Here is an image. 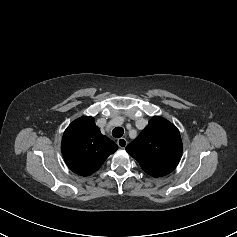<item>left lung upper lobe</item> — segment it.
Returning <instances> with one entry per match:
<instances>
[{"instance_id": "1", "label": "left lung upper lobe", "mask_w": 237, "mask_h": 237, "mask_svg": "<svg viewBox=\"0 0 237 237\" xmlns=\"http://www.w3.org/2000/svg\"><path fill=\"white\" fill-rule=\"evenodd\" d=\"M179 130L166 119L154 116L141 134L126 147L141 168L153 177L172 172L182 155Z\"/></svg>"}]
</instances>
